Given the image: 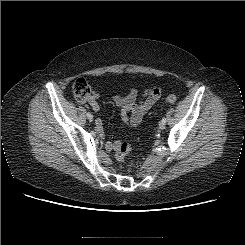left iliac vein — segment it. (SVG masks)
Masks as SVG:
<instances>
[{
	"mask_svg": "<svg viewBox=\"0 0 245 245\" xmlns=\"http://www.w3.org/2000/svg\"><path fill=\"white\" fill-rule=\"evenodd\" d=\"M159 128L161 130H163L165 128V123L162 120L159 122Z\"/></svg>",
	"mask_w": 245,
	"mask_h": 245,
	"instance_id": "1",
	"label": "left iliac vein"
}]
</instances>
